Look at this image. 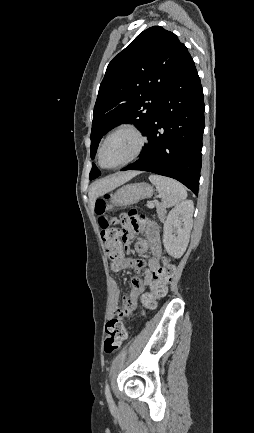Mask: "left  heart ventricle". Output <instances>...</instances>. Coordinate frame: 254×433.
<instances>
[{
  "label": "left heart ventricle",
  "instance_id": "1",
  "mask_svg": "<svg viewBox=\"0 0 254 433\" xmlns=\"http://www.w3.org/2000/svg\"><path fill=\"white\" fill-rule=\"evenodd\" d=\"M138 139L130 132H120L108 139L102 150V163L115 166L127 160L136 150Z\"/></svg>",
  "mask_w": 254,
  "mask_h": 433
}]
</instances>
